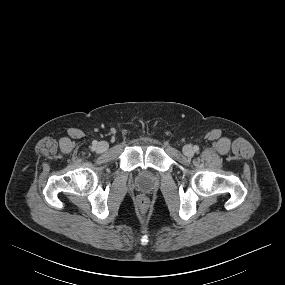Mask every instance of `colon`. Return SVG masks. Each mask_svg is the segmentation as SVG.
Segmentation results:
<instances>
[{"label": "colon", "mask_w": 285, "mask_h": 285, "mask_svg": "<svg viewBox=\"0 0 285 285\" xmlns=\"http://www.w3.org/2000/svg\"><path fill=\"white\" fill-rule=\"evenodd\" d=\"M139 203H140V206L142 208H146L147 207V204H148V201L145 197H141L140 200H139Z\"/></svg>", "instance_id": "1"}]
</instances>
